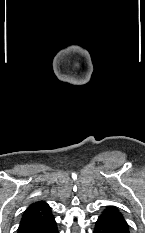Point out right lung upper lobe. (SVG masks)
Returning a JSON list of instances; mask_svg holds the SVG:
<instances>
[{"instance_id":"right-lung-upper-lobe-1","label":"right lung upper lobe","mask_w":145,"mask_h":233,"mask_svg":"<svg viewBox=\"0 0 145 233\" xmlns=\"http://www.w3.org/2000/svg\"><path fill=\"white\" fill-rule=\"evenodd\" d=\"M53 218L51 208L44 201L31 204L24 212L18 233H29Z\"/></svg>"}]
</instances>
